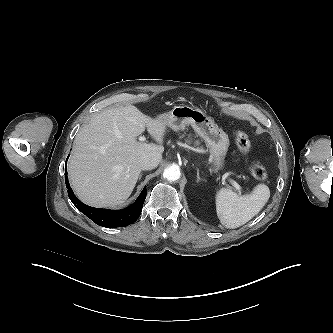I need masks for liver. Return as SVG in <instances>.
<instances>
[{
    "label": "liver",
    "mask_w": 333,
    "mask_h": 333,
    "mask_svg": "<svg viewBox=\"0 0 333 333\" xmlns=\"http://www.w3.org/2000/svg\"><path fill=\"white\" fill-rule=\"evenodd\" d=\"M146 127L157 144L137 141ZM166 127V121L148 118L133 105L93 114L75 137L68 164L78 198L94 207L123 204L136 185L142 159L162 157Z\"/></svg>",
    "instance_id": "6515ba94"
}]
</instances>
